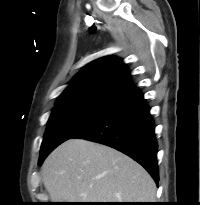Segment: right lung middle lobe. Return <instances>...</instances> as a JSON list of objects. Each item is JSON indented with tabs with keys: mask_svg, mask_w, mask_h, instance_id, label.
<instances>
[{
	"mask_svg": "<svg viewBox=\"0 0 200 205\" xmlns=\"http://www.w3.org/2000/svg\"><path fill=\"white\" fill-rule=\"evenodd\" d=\"M114 102L105 99H72L58 102L48 121L39 165L55 147L101 116Z\"/></svg>",
	"mask_w": 200,
	"mask_h": 205,
	"instance_id": "1",
	"label": "right lung middle lobe"
}]
</instances>
